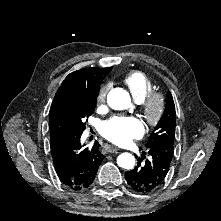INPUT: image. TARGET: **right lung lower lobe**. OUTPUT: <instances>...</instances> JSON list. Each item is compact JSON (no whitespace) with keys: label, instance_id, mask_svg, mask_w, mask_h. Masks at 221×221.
I'll list each match as a JSON object with an SVG mask.
<instances>
[{"label":"right lung lower lobe","instance_id":"1","mask_svg":"<svg viewBox=\"0 0 221 221\" xmlns=\"http://www.w3.org/2000/svg\"><path fill=\"white\" fill-rule=\"evenodd\" d=\"M80 136L68 135L50 145L55 171L61 183L72 190L89 187L104 158L99 143L95 142L91 149L83 148Z\"/></svg>","mask_w":221,"mask_h":221}]
</instances>
